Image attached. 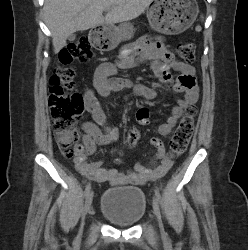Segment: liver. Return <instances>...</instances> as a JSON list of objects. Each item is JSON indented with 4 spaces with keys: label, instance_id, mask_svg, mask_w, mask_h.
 <instances>
[{
    "label": "liver",
    "instance_id": "1",
    "mask_svg": "<svg viewBox=\"0 0 248 250\" xmlns=\"http://www.w3.org/2000/svg\"><path fill=\"white\" fill-rule=\"evenodd\" d=\"M153 0H45L43 11L52 36L54 53L76 31L115 24L140 16ZM109 10L107 15L103 11Z\"/></svg>",
    "mask_w": 248,
    "mask_h": 250
}]
</instances>
